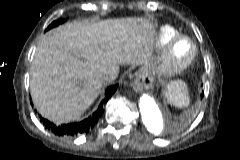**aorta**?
<instances>
[{
  "label": "aorta",
  "mask_w": 240,
  "mask_h": 160,
  "mask_svg": "<svg viewBox=\"0 0 240 160\" xmlns=\"http://www.w3.org/2000/svg\"><path fill=\"white\" fill-rule=\"evenodd\" d=\"M143 124L151 133L158 134L163 129V117L155 100L149 95L141 96L139 100Z\"/></svg>",
  "instance_id": "aorta-1"
}]
</instances>
